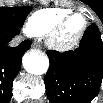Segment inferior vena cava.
I'll list each match as a JSON object with an SVG mask.
<instances>
[{
  "instance_id": "1",
  "label": "inferior vena cava",
  "mask_w": 103,
  "mask_h": 103,
  "mask_svg": "<svg viewBox=\"0 0 103 103\" xmlns=\"http://www.w3.org/2000/svg\"><path fill=\"white\" fill-rule=\"evenodd\" d=\"M21 41H22V38L17 37L10 43V46H12V47L18 46Z\"/></svg>"
}]
</instances>
